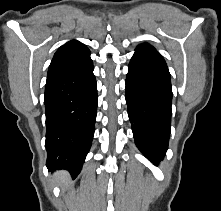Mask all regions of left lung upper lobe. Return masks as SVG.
<instances>
[{
    "instance_id": "1",
    "label": "left lung upper lobe",
    "mask_w": 221,
    "mask_h": 211,
    "mask_svg": "<svg viewBox=\"0 0 221 211\" xmlns=\"http://www.w3.org/2000/svg\"><path fill=\"white\" fill-rule=\"evenodd\" d=\"M137 51H147V52H150V53H154V54H158L160 55L155 49L153 46L149 45V44H141L139 45L137 48H136Z\"/></svg>"
}]
</instances>
